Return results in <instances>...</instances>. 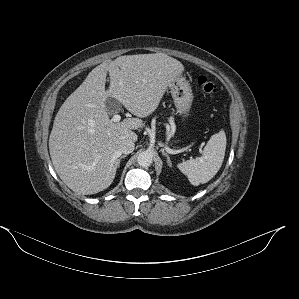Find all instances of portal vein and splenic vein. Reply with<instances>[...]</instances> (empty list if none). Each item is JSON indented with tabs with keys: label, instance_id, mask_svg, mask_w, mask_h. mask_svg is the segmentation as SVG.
Wrapping results in <instances>:
<instances>
[{
	"label": "portal vein and splenic vein",
	"instance_id": "1",
	"mask_svg": "<svg viewBox=\"0 0 299 299\" xmlns=\"http://www.w3.org/2000/svg\"><path fill=\"white\" fill-rule=\"evenodd\" d=\"M113 122L117 123L121 120V116L119 114L113 115L112 119Z\"/></svg>",
	"mask_w": 299,
	"mask_h": 299
}]
</instances>
